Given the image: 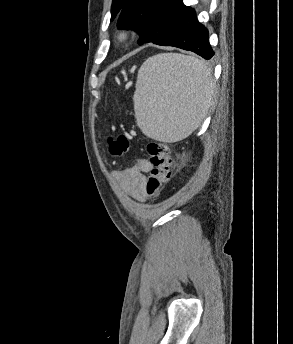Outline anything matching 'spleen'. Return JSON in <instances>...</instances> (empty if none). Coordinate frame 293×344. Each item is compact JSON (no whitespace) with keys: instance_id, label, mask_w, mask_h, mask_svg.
<instances>
[{"instance_id":"spleen-1","label":"spleen","mask_w":293,"mask_h":344,"mask_svg":"<svg viewBox=\"0 0 293 344\" xmlns=\"http://www.w3.org/2000/svg\"><path fill=\"white\" fill-rule=\"evenodd\" d=\"M214 88V79L202 60L178 53L154 55L138 72L133 97L137 124L154 140L185 138L205 117Z\"/></svg>"}]
</instances>
